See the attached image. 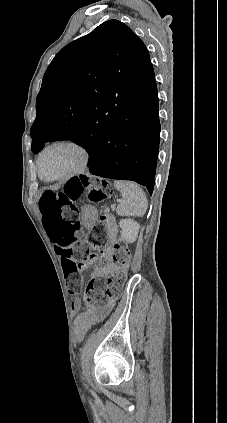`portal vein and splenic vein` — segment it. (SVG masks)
<instances>
[{
	"mask_svg": "<svg viewBox=\"0 0 227 423\" xmlns=\"http://www.w3.org/2000/svg\"><path fill=\"white\" fill-rule=\"evenodd\" d=\"M115 203H117V204H121V203H122V200H121V199H117V200H115ZM111 209H112V210H115V209H116V206H115V205H112V206H111Z\"/></svg>",
	"mask_w": 227,
	"mask_h": 423,
	"instance_id": "18ae733b",
	"label": "portal vein and splenic vein"
}]
</instances>
